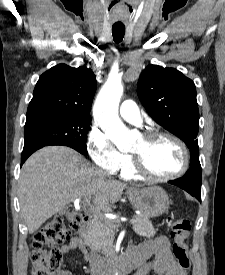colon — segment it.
Masks as SVG:
<instances>
[{"instance_id":"5ec220e1","label":"colon","mask_w":225,"mask_h":275,"mask_svg":"<svg viewBox=\"0 0 225 275\" xmlns=\"http://www.w3.org/2000/svg\"><path fill=\"white\" fill-rule=\"evenodd\" d=\"M81 210L70 208L64 215L56 216L48 221L33 238L31 261L33 275H54L60 267L62 252L59 246L69 237L71 230H77L85 220ZM170 235L173 239L172 252L178 265L188 270L187 240L191 224L187 219L171 218Z\"/></svg>"}]
</instances>
